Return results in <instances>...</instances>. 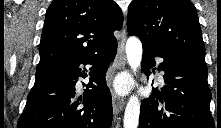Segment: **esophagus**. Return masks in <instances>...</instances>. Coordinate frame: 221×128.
<instances>
[{
    "label": "esophagus",
    "mask_w": 221,
    "mask_h": 128,
    "mask_svg": "<svg viewBox=\"0 0 221 128\" xmlns=\"http://www.w3.org/2000/svg\"><path fill=\"white\" fill-rule=\"evenodd\" d=\"M125 42H126V31L123 29L121 31V36L118 42V49L116 55V66L117 69H123L126 65V55H125ZM112 103L113 111L115 114H118L125 105V100L120 97L116 92H112Z\"/></svg>",
    "instance_id": "34e87169"
}]
</instances>
